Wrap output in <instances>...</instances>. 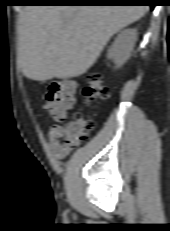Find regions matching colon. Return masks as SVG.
Returning a JSON list of instances; mask_svg holds the SVG:
<instances>
[{
    "mask_svg": "<svg viewBox=\"0 0 170 231\" xmlns=\"http://www.w3.org/2000/svg\"><path fill=\"white\" fill-rule=\"evenodd\" d=\"M76 85L72 79H62L51 83L49 86L44 109L49 117L57 122L66 119L67 111L75 104ZM110 90L98 72H91L87 84L83 89L86 102L105 101L109 98ZM95 123L92 119H85L76 115L70 122L62 126L63 140L71 148L80 142L89 139Z\"/></svg>",
    "mask_w": 170,
    "mask_h": 231,
    "instance_id": "obj_1",
    "label": "colon"
}]
</instances>
